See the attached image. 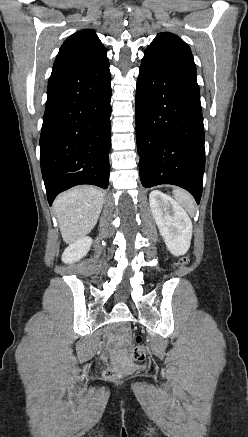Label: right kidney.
I'll return each mask as SVG.
<instances>
[{"label":"right kidney","instance_id":"ca27d5eb","mask_svg":"<svg viewBox=\"0 0 248 437\" xmlns=\"http://www.w3.org/2000/svg\"><path fill=\"white\" fill-rule=\"evenodd\" d=\"M92 239L88 236L80 238L70 244L62 254L64 263H74L82 259L90 250Z\"/></svg>","mask_w":248,"mask_h":437}]
</instances>
